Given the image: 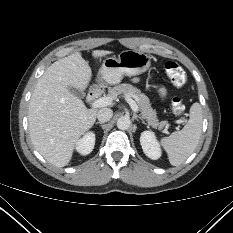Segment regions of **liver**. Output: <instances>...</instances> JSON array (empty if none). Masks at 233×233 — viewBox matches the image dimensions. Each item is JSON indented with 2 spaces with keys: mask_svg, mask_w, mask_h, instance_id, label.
Wrapping results in <instances>:
<instances>
[{
  "mask_svg": "<svg viewBox=\"0 0 233 233\" xmlns=\"http://www.w3.org/2000/svg\"><path fill=\"white\" fill-rule=\"evenodd\" d=\"M94 50V58L111 54ZM91 69L80 52L54 62L38 79L28 108V125L35 149L56 167L66 166L79 138L95 123L97 110L88 109L70 88L85 90Z\"/></svg>",
  "mask_w": 233,
  "mask_h": 233,
  "instance_id": "obj_1",
  "label": "liver"
}]
</instances>
